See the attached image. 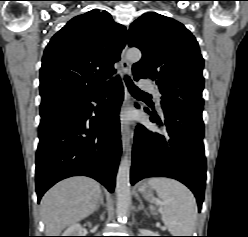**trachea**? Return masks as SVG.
<instances>
[{"instance_id":"trachea-1","label":"trachea","mask_w":248,"mask_h":237,"mask_svg":"<svg viewBox=\"0 0 248 237\" xmlns=\"http://www.w3.org/2000/svg\"><path fill=\"white\" fill-rule=\"evenodd\" d=\"M125 80V83L129 89V91L133 94V95H140V96H147V97H150V95L148 93H145L143 91H141L140 89H138L134 83L132 82V80L130 79L129 76H125L124 78Z\"/></svg>"}]
</instances>
